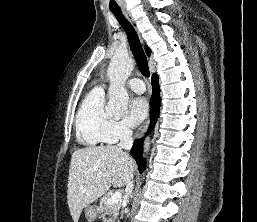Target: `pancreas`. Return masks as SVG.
I'll return each instance as SVG.
<instances>
[{
	"mask_svg": "<svg viewBox=\"0 0 257 222\" xmlns=\"http://www.w3.org/2000/svg\"><path fill=\"white\" fill-rule=\"evenodd\" d=\"M107 199V196H103L100 199V204L97 208V212L99 213L100 218H102L104 222H115V220L118 217L120 203L108 204Z\"/></svg>",
	"mask_w": 257,
	"mask_h": 222,
	"instance_id": "cf45deb5",
	"label": "pancreas"
}]
</instances>
